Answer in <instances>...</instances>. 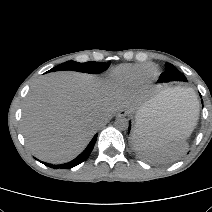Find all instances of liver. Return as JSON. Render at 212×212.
<instances>
[{
  "label": "liver",
  "mask_w": 212,
  "mask_h": 212,
  "mask_svg": "<svg viewBox=\"0 0 212 212\" xmlns=\"http://www.w3.org/2000/svg\"><path fill=\"white\" fill-rule=\"evenodd\" d=\"M162 92L152 103H157L166 119L161 124L149 121L147 128L162 135L175 131L179 137L189 136L197 114L189 113L168 95L160 101ZM134 108L131 95L105 85L93 75L54 72L38 79L29 91L23 106L22 133L37 158L65 163L84 150L100 121L121 109Z\"/></svg>",
  "instance_id": "1"
}]
</instances>
